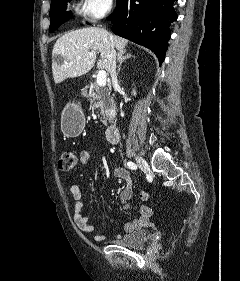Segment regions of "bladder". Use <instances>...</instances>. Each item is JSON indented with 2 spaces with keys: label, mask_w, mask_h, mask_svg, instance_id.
<instances>
[{
  "label": "bladder",
  "mask_w": 240,
  "mask_h": 281,
  "mask_svg": "<svg viewBox=\"0 0 240 281\" xmlns=\"http://www.w3.org/2000/svg\"><path fill=\"white\" fill-rule=\"evenodd\" d=\"M148 239L149 233L147 230L140 229L116 239L113 243L127 248H139L142 247Z\"/></svg>",
  "instance_id": "1"
}]
</instances>
